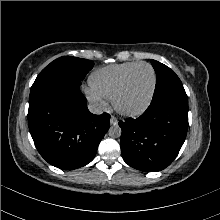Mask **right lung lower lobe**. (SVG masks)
Wrapping results in <instances>:
<instances>
[{"mask_svg":"<svg viewBox=\"0 0 220 220\" xmlns=\"http://www.w3.org/2000/svg\"><path fill=\"white\" fill-rule=\"evenodd\" d=\"M80 82L52 78L33 84L28 124L35 146L51 165L73 170L91 162L110 124V115L89 112Z\"/></svg>","mask_w":220,"mask_h":220,"instance_id":"obj_1","label":"right lung lower lobe"}]
</instances>
